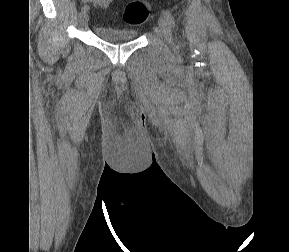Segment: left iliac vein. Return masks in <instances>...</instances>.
<instances>
[{
	"instance_id": "obj_1",
	"label": "left iliac vein",
	"mask_w": 289,
	"mask_h": 252,
	"mask_svg": "<svg viewBox=\"0 0 289 252\" xmlns=\"http://www.w3.org/2000/svg\"><path fill=\"white\" fill-rule=\"evenodd\" d=\"M160 32L164 39L167 41L168 44L172 45L173 44V38H172V32H171V27L169 25V22L167 19L162 16L158 20Z\"/></svg>"
}]
</instances>
